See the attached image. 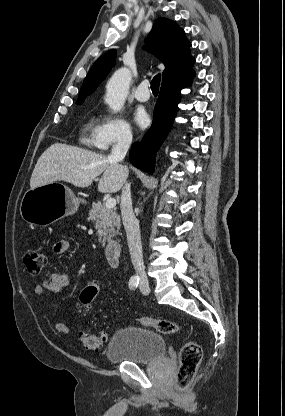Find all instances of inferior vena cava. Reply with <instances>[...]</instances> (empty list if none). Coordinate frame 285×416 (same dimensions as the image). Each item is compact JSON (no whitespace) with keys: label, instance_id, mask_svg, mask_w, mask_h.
<instances>
[{"label":"inferior vena cava","instance_id":"1","mask_svg":"<svg viewBox=\"0 0 285 416\" xmlns=\"http://www.w3.org/2000/svg\"><path fill=\"white\" fill-rule=\"evenodd\" d=\"M131 142L132 136L128 134L127 130L119 134L117 138V144L116 146H112L111 154L108 156L110 164H118V162H123ZM124 168H126V166H124ZM120 210L123 226L127 234V242L129 246V252L131 254L132 264L137 274H140V276H146L142 256L139 222L136 220L132 208L130 184H125L124 188H122Z\"/></svg>","mask_w":285,"mask_h":416}]
</instances>
